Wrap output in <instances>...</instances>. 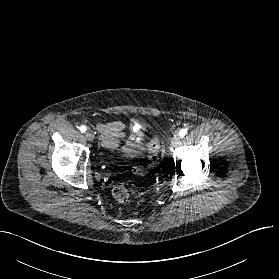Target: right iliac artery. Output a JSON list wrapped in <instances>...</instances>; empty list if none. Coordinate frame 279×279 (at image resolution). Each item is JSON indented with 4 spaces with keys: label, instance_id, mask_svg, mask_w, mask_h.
I'll list each match as a JSON object with an SVG mask.
<instances>
[{
    "label": "right iliac artery",
    "instance_id": "right-iliac-artery-1",
    "mask_svg": "<svg viewBox=\"0 0 279 279\" xmlns=\"http://www.w3.org/2000/svg\"><path fill=\"white\" fill-rule=\"evenodd\" d=\"M87 130V128H86V126H81L80 127V131L83 133V132H85Z\"/></svg>",
    "mask_w": 279,
    "mask_h": 279
}]
</instances>
